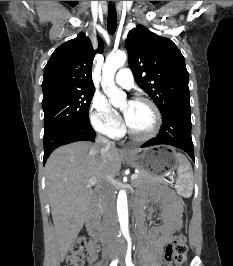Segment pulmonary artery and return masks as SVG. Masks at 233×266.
I'll return each instance as SVG.
<instances>
[{
	"label": "pulmonary artery",
	"instance_id": "e3ab8cb5",
	"mask_svg": "<svg viewBox=\"0 0 233 266\" xmlns=\"http://www.w3.org/2000/svg\"><path fill=\"white\" fill-rule=\"evenodd\" d=\"M115 82L126 89H130L134 84V78L129 68H122L118 71L115 77Z\"/></svg>",
	"mask_w": 233,
	"mask_h": 266
}]
</instances>
